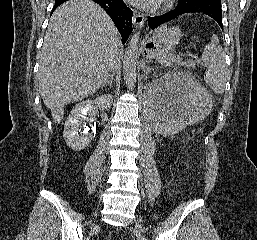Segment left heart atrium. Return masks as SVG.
<instances>
[{
	"label": "left heart atrium",
	"mask_w": 257,
	"mask_h": 240,
	"mask_svg": "<svg viewBox=\"0 0 257 240\" xmlns=\"http://www.w3.org/2000/svg\"><path fill=\"white\" fill-rule=\"evenodd\" d=\"M130 4L135 5L142 9H153L155 8L160 0H127Z\"/></svg>",
	"instance_id": "39dd6f15"
}]
</instances>
